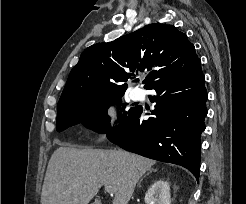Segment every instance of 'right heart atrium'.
<instances>
[{"label": "right heart atrium", "mask_w": 246, "mask_h": 204, "mask_svg": "<svg viewBox=\"0 0 246 204\" xmlns=\"http://www.w3.org/2000/svg\"><path fill=\"white\" fill-rule=\"evenodd\" d=\"M117 120V109L113 102L106 101L98 107L96 112V134L100 140L107 137L116 126Z\"/></svg>", "instance_id": "obj_1"}]
</instances>
